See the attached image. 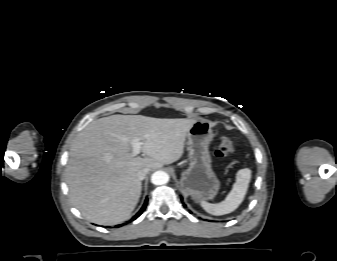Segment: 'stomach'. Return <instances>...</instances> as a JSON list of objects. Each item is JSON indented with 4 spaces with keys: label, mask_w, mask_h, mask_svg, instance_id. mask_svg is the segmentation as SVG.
Listing matches in <instances>:
<instances>
[{
    "label": "stomach",
    "mask_w": 337,
    "mask_h": 261,
    "mask_svg": "<svg viewBox=\"0 0 337 261\" xmlns=\"http://www.w3.org/2000/svg\"><path fill=\"white\" fill-rule=\"evenodd\" d=\"M213 136L207 120H197L187 133L189 166L181 173L180 187L195 202L212 200L220 189L209 151Z\"/></svg>",
    "instance_id": "stomach-1"
}]
</instances>
